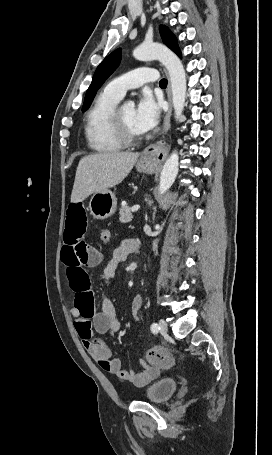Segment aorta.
<instances>
[{
	"instance_id": "1",
	"label": "aorta",
	"mask_w": 272,
	"mask_h": 455,
	"mask_svg": "<svg viewBox=\"0 0 272 455\" xmlns=\"http://www.w3.org/2000/svg\"><path fill=\"white\" fill-rule=\"evenodd\" d=\"M133 56L140 61L159 60L167 69L171 82L172 103L175 118L182 115L186 99V73L179 57L167 47L158 43H143L133 51ZM127 108H134V102L130 101ZM179 156L174 151L166 160L159 183V194L169 190L178 174Z\"/></svg>"
}]
</instances>
